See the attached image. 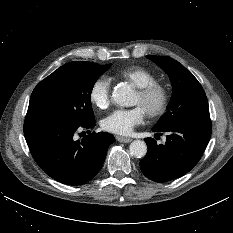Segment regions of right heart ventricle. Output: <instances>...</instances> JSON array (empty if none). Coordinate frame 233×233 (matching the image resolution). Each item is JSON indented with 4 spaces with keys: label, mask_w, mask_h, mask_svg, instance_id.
<instances>
[{
    "label": "right heart ventricle",
    "mask_w": 233,
    "mask_h": 233,
    "mask_svg": "<svg viewBox=\"0 0 233 233\" xmlns=\"http://www.w3.org/2000/svg\"><path fill=\"white\" fill-rule=\"evenodd\" d=\"M118 77L129 81L134 87L141 88L157 82V77L149 70L142 67H129L118 73Z\"/></svg>",
    "instance_id": "1"
}]
</instances>
